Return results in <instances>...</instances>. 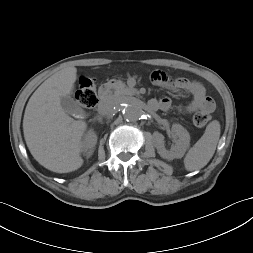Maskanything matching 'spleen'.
Here are the masks:
<instances>
[{
    "instance_id": "spleen-1",
    "label": "spleen",
    "mask_w": 253,
    "mask_h": 253,
    "mask_svg": "<svg viewBox=\"0 0 253 253\" xmlns=\"http://www.w3.org/2000/svg\"><path fill=\"white\" fill-rule=\"evenodd\" d=\"M220 138V123L210 122L203 136L188 151L184 165L187 171L199 170L206 166L213 157Z\"/></svg>"
}]
</instances>
